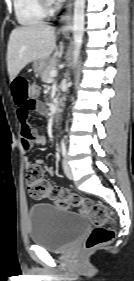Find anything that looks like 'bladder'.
Returning a JSON list of instances; mask_svg holds the SVG:
<instances>
[{"mask_svg":"<svg viewBox=\"0 0 134 281\" xmlns=\"http://www.w3.org/2000/svg\"><path fill=\"white\" fill-rule=\"evenodd\" d=\"M29 217L31 242L50 251L65 250L89 226L84 215L45 203L33 205Z\"/></svg>","mask_w":134,"mask_h":281,"instance_id":"obj_1","label":"bladder"}]
</instances>
